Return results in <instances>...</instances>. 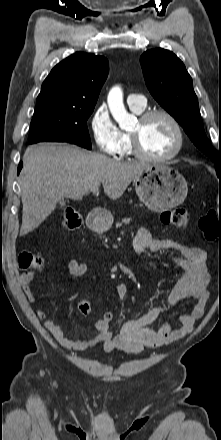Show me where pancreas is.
Here are the masks:
<instances>
[{"label":"pancreas","mask_w":221,"mask_h":440,"mask_svg":"<svg viewBox=\"0 0 221 440\" xmlns=\"http://www.w3.org/2000/svg\"><path fill=\"white\" fill-rule=\"evenodd\" d=\"M131 222V219L130 218H124L123 220H122V223H116V227H120L122 224H129Z\"/></svg>","instance_id":"1"}]
</instances>
